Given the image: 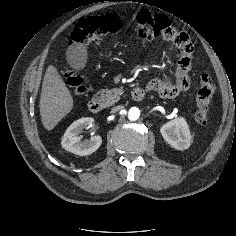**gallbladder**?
Instances as JSON below:
<instances>
[{
    "instance_id": "obj_1",
    "label": "gallbladder",
    "mask_w": 236,
    "mask_h": 236,
    "mask_svg": "<svg viewBox=\"0 0 236 236\" xmlns=\"http://www.w3.org/2000/svg\"><path fill=\"white\" fill-rule=\"evenodd\" d=\"M67 62L75 70H81L87 62L86 49L81 44H74L66 51Z\"/></svg>"
}]
</instances>
